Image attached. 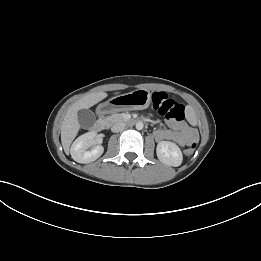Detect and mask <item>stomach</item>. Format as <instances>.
<instances>
[{
  "label": "stomach",
  "instance_id": "1",
  "mask_svg": "<svg viewBox=\"0 0 261 261\" xmlns=\"http://www.w3.org/2000/svg\"><path fill=\"white\" fill-rule=\"evenodd\" d=\"M151 102V93L146 89H138L132 92L117 95L101 103L98 111L101 114H112L119 111L142 110L148 108Z\"/></svg>",
  "mask_w": 261,
  "mask_h": 261
}]
</instances>
